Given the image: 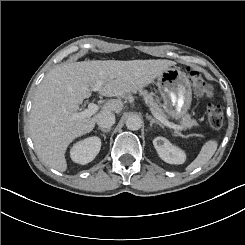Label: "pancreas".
<instances>
[{
  "label": "pancreas",
  "mask_w": 245,
  "mask_h": 245,
  "mask_svg": "<svg viewBox=\"0 0 245 245\" xmlns=\"http://www.w3.org/2000/svg\"><path fill=\"white\" fill-rule=\"evenodd\" d=\"M140 95L143 96L145 103L150 107L151 110L159 113L163 118L168 119V116L164 113L163 109L161 108L160 100L154 99V93H148L147 90L139 89ZM176 118H180V125L186 129L191 128L192 126L198 125L197 121L194 119H191L189 114L182 115L179 117L177 115Z\"/></svg>",
  "instance_id": "cf45deb5"
}]
</instances>
